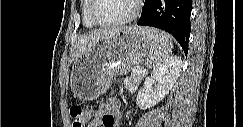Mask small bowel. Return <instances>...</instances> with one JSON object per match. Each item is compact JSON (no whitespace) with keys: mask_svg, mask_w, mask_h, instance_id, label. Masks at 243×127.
I'll use <instances>...</instances> for the list:
<instances>
[{"mask_svg":"<svg viewBox=\"0 0 243 127\" xmlns=\"http://www.w3.org/2000/svg\"><path fill=\"white\" fill-rule=\"evenodd\" d=\"M120 120V102L115 98L108 99L101 104L89 119L87 127H117Z\"/></svg>","mask_w":243,"mask_h":127,"instance_id":"c3829d8e","label":"small bowel"}]
</instances>
